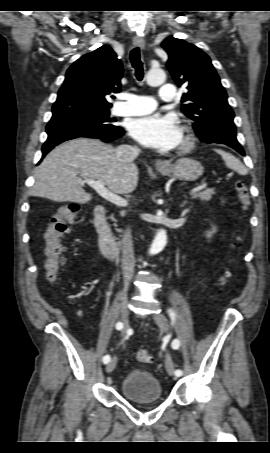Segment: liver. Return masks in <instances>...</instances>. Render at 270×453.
<instances>
[{"instance_id": "6515ba94", "label": "liver", "mask_w": 270, "mask_h": 453, "mask_svg": "<svg viewBox=\"0 0 270 453\" xmlns=\"http://www.w3.org/2000/svg\"><path fill=\"white\" fill-rule=\"evenodd\" d=\"M103 181L116 194L133 192L138 183L134 163L118 161L111 145L96 139L77 138L54 148L37 167L32 196L55 202L86 204L91 194L82 188L80 177Z\"/></svg>"}]
</instances>
